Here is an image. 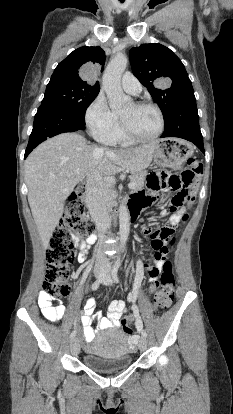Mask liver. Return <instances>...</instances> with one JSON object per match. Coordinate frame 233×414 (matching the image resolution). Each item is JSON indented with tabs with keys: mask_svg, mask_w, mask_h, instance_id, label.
<instances>
[{
	"mask_svg": "<svg viewBox=\"0 0 233 414\" xmlns=\"http://www.w3.org/2000/svg\"><path fill=\"white\" fill-rule=\"evenodd\" d=\"M156 142L111 150L89 145L78 133H61L36 147L25 161L28 202L44 247L64 211L65 200L88 175L141 172L154 156Z\"/></svg>",
	"mask_w": 233,
	"mask_h": 414,
	"instance_id": "1",
	"label": "liver"
}]
</instances>
